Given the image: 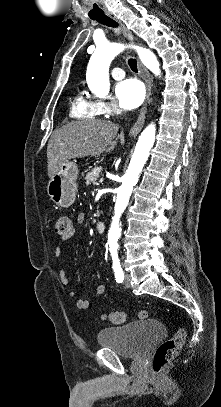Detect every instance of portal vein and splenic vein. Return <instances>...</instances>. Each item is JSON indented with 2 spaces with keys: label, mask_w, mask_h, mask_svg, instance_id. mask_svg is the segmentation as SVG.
Masks as SVG:
<instances>
[{
  "label": "portal vein and splenic vein",
  "mask_w": 221,
  "mask_h": 407,
  "mask_svg": "<svg viewBox=\"0 0 221 407\" xmlns=\"http://www.w3.org/2000/svg\"><path fill=\"white\" fill-rule=\"evenodd\" d=\"M103 181H104V178L101 177V178L99 179V182L102 183Z\"/></svg>",
  "instance_id": "obj_1"
}]
</instances>
